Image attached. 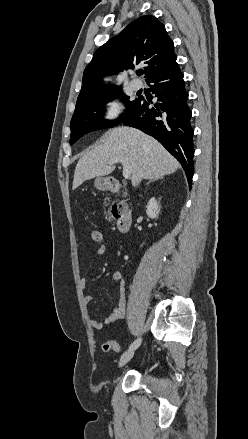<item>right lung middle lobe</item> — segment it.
Wrapping results in <instances>:
<instances>
[{"label": "right lung middle lobe", "instance_id": "right-lung-middle-lobe-1", "mask_svg": "<svg viewBox=\"0 0 248 439\" xmlns=\"http://www.w3.org/2000/svg\"><path fill=\"white\" fill-rule=\"evenodd\" d=\"M115 95V91H112L104 96L92 99L75 108L70 123V145L74 144L79 138L91 131L116 126L120 123L123 117L133 108L138 100V98H136L135 100H130L129 96L123 95V102L127 107L126 112L122 115V117L115 121H106L103 118L105 112L104 106L106 105V103L111 101Z\"/></svg>", "mask_w": 248, "mask_h": 439}]
</instances>
